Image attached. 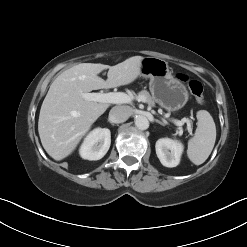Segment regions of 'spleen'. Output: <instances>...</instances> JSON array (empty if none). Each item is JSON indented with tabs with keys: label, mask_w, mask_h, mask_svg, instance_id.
I'll use <instances>...</instances> for the list:
<instances>
[{
	"label": "spleen",
	"mask_w": 247,
	"mask_h": 247,
	"mask_svg": "<svg viewBox=\"0 0 247 247\" xmlns=\"http://www.w3.org/2000/svg\"><path fill=\"white\" fill-rule=\"evenodd\" d=\"M198 126L195 135L189 140L187 155L192 163L201 165L211 154L216 140V126L206 110L197 112Z\"/></svg>",
	"instance_id": "1"
}]
</instances>
